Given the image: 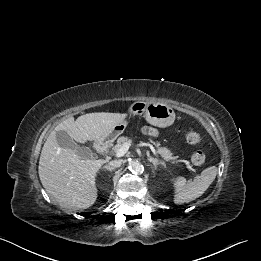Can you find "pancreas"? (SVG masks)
<instances>
[{
	"mask_svg": "<svg viewBox=\"0 0 261 261\" xmlns=\"http://www.w3.org/2000/svg\"><path fill=\"white\" fill-rule=\"evenodd\" d=\"M130 141V138L127 136H121L117 139V143L114 147H112V151L115 154L116 151L126 142ZM150 142L157 148V153H159L164 160L170 161L173 160L174 162H177V157L173 156V153L166 147H161L160 142H155L152 139H150ZM111 145V144H110Z\"/></svg>",
	"mask_w": 261,
	"mask_h": 261,
	"instance_id": "cf45deb5",
	"label": "pancreas"
}]
</instances>
